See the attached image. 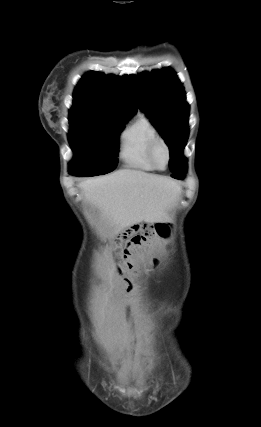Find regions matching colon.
Wrapping results in <instances>:
<instances>
[{
    "mask_svg": "<svg viewBox=\"0 0 261 427\" xmlns=\"http://www.w3.org/2000/svg\"><path fill=\"white\" fill-rule=\"evenodd\" d=\"M155 232L163 233L164 228L162 226H156L155 229L145 227L140 235L136 236L131 240V242L129 243V249L143 245L155 234Z\"/></svg>",
    "mask_w": 261,
    "mask_h": 427,
    "instance_id": "1",
    "label": "colon"
}]
</instances>
